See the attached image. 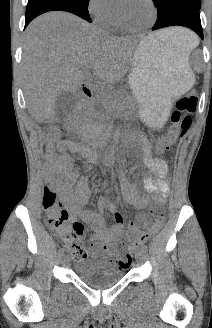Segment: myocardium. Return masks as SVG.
I'll list each match as a JSON object with an SVG mask.
<instances>
[{
	"mask_svg": "<svg viewBox=\"0 0 212 328\" xmlns=\"http://www.w3.org/2000/svg\"><path fill=\"white\" fill-rule=\"evenodd\" d=\"M146 2L149 4L151 10H152V19L151 21L144 25V26H132L129 25L123 18L120 9L117 10L116 18L119 24L121 25L122 28L128 30V31H133V32H140L149 29L156 21L157 16H158V10L157 6L154 2V0H146Z\"/></svg>",
	"mask_w": 212,
	"mask_h": 328,
	"instance_id": "myocardium-1",
	"label": "myocardium"
}]
</instances>
